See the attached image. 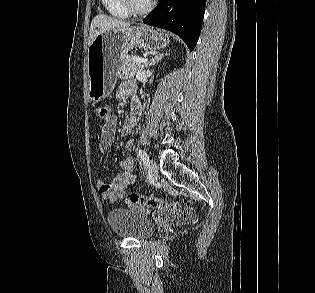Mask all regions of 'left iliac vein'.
<instances>
[{"mask_svg": "<svg viewBox=\"0 0 315 293\" xmlns=\"http://www.w3.org/2000/svg\"><path fill=\"white\" fill-rule=\"evenodd\" d=\"M149 169L151 172L152 179L154 181H157L158 176H159V167H158L157 163L153 160H150L149 161Z\"/></svg>", "mask_w": 315, "mask_h": 293, "instance_id": "obj_1", "label": "left iliac vein"}]
</instances>
